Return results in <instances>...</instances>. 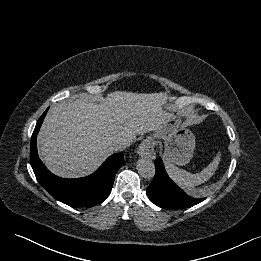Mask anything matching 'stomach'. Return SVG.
I'll return each mask as SVG.
<instances>
[{"label":"stomach","mask_w":261,"mask_h":261,"mask_svg":"<svg viewBox=\"0 0 261 261\" xmlns=\"http://www.w3.org/2000/svg\"><path fill=\"white\" fill-rule=\"evenodd\" d=\"M149 139L163 141V157L168 163L182 166L189 163L193 157L196 145L195 136L184 124L182 118L174 113L169 114Z\"/></svg>","instance_id":"obj_1"}]
</instances>
